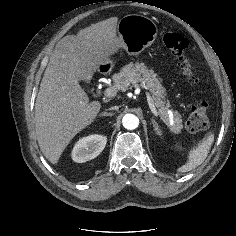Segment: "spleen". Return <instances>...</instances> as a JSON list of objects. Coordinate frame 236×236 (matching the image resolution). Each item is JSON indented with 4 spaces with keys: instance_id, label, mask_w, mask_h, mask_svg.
<instances>
[{
    "instance_id": "3e777b00",
    "label": "spleen",
    "mask_w": 236,
    "mask_h": 236,
    "mask_svg": "<svg viewBox=\"0 0 236 236\" xmlns=\"http://www.w3.org/2000/svg\"><path fill=\"white\" fill-rule=\"evenodd\" d=\"M214 142V134H207L197 147L193 148L189 153V160L183 166H181L178 171L188 172L195 169L197 166L201 165L206 159L209 150Z\"/></svg>"
}]
</instances>
